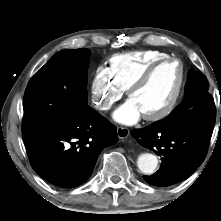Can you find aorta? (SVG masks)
I'll use <instances>...</instances> for the list:
<instances>
[{
    "label": "aorta",
    "instance_id": "762f6f07",
    "mask_svg": "<svg viewBox=\"0 0 221 221\" xmlns=\"http://www.w3.org/2000/svg\"><path fill=\"white\" fill-rule=\"evenodd\" d=\"M158 165V159L151 153H143L137 159V166L144 174H152Z\"/></svg>",
    "mask_w": 221,
    "mask_h": 221
}]
</instances>
